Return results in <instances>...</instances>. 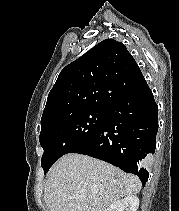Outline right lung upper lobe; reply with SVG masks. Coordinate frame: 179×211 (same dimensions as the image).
<instances>
[{
	"instance_id": "cb5924a9",
	"label": "right lung upper lobe",
	"mask_w": 179,
	"mask_h": 211,
	"mask_svg": "<svg viewBox=\"0 0 179 211\" xmlns=\"http://www.w3.org/2000/svg\"><path fill=\"white\" fill-rule=\"evenodd\" d=\"M143 80L125 45L103 40L60 72L48 95L41 128L75 112L110 108Z\"/></svg>"
}]
</instances>
